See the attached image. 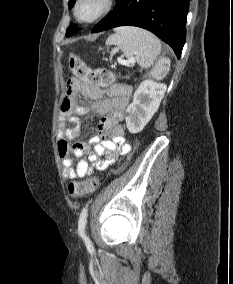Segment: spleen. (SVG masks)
Listing matches in <instances>:
<instances>
[{
    "instance_id": "spleen-1",
    "label": "spleen",
    "mask_w": 233,
    "mask_h": 284,
    "mask_svg": "<svg viewBox=\"0 0 233 284\" xmlns=\"http://www.w3.org/2000/svg\"><path fill=\"white\" fill-rule=\"evenodd\" d=\"M106 45H116L128 59H135L143 68L151 67L161 52L160 40L144 29L122 26L106 40ZM169 68L156 66L158 75L166 73Z\"/></svg>"
}]
</instances>
